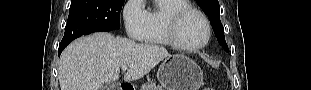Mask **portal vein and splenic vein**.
I'll list each match as a JSON object with an SVG mask.
<instances>
[{
	"label": "portal vein and splenic vein",
	"mask_w": 311,
	"mask_h": 90,
	"mask_svg": "<svg viewBox=\"0 0 311 90\" xmlns=\"http://www.w3.org/2000/svg\"><path fill=\"white\" fill-rule=\"evenodd\" d=\"M129 67H130V66L125 65V66H122L121 69H122V71H126V70H128Z\"/></svg>",
	"instance_id": "18ae733b"
}]
</instances>
